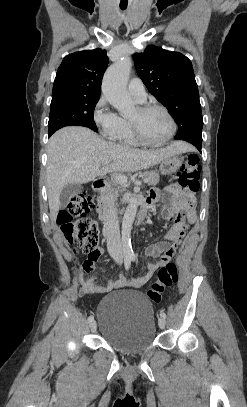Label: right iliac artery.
<instances>
[{
	"label": "right iliac artery",
	"mask_w": 247,
	"mask_h": 407,
	"mask_svg": "<svg viewBox=\"0 0 247 407\" xmlns=\"http://www.w3.org/2000/svg\"><path fill=\"white\" fill-rule=\"evenodd\" d=\"M124 265H125L126 270H128L130 268V265H131V258L130 257H125L124 258ZM93 320H94L93 316L88 317V322H92Z\"/></svg>",
	"instance_id": "1"
}]
</instances>
